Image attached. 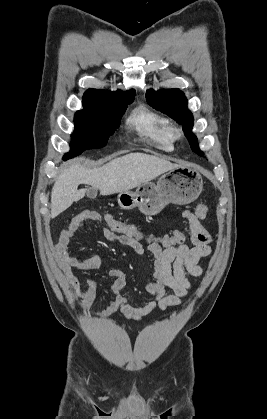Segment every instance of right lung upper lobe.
<instances>
[{"instance_id":"cb5924a9","label":"right lung upper lobe","mask_w":267,"mask_h":419,"mask_svg":"<svg viewBox=\"0 0 267 419\" xmlns=\"http://www.w3.org/2000/svg\"><path fill=\"white\" fill-rule=\"evenodd\" d=\"M134 94H135L134 90H131L128 92H121L120 90L111 92V91H105V90L89 89L84 93L83 104H91L94 102L108 100V99L117 98V97L133 96Z\"/></svg>"}]
</instances>
